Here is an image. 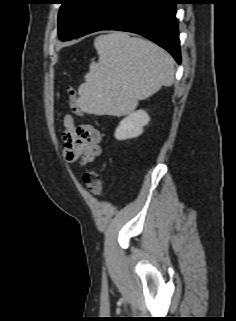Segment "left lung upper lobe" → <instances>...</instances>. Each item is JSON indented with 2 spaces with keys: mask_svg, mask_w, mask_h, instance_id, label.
Segmentation results:
<instances>
[{
  "mask_svg": "<svg viewBox=\"0 0 236 321\" xmlns=\"http://www.w3.org/2000/svg\"><path fill=\"white\" fill-rule=\"evenodd\" d=\"M102 0H61L58 34L61 40L74 38Z\"/></svg>",
  "mask_w": 236,
  "mask_h": 321,
  "instance_id": "left-lung-upper-lobe-1",
  "label": "left lung upper lobe"
}]
</instances>
